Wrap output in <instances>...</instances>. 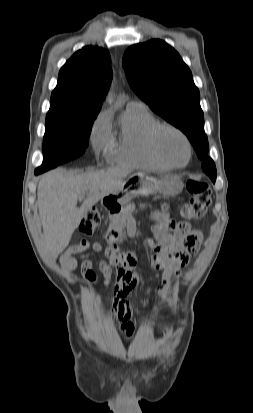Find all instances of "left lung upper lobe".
I'll list each match as a JSON object with an SVG mask.
<instances>
[{"label": "left lung upper lobe", "instance_id": "obj_1", "mask_svg": "<svg viewBox=\"0 0 253 413\" xmlns=\"http://www.w3.org/2000/svg\"><path fill=\"white\" fill-rule=\"evenodd\" d=\"M122 64L133 91L155 113L186 134L203 160V171L215 181V164L207 156L209 144L199 90L180 55L166 42L153 39L130 46Z\"/></svg>", "mask_w": 253, "mask_h": 413}]
</instances>
